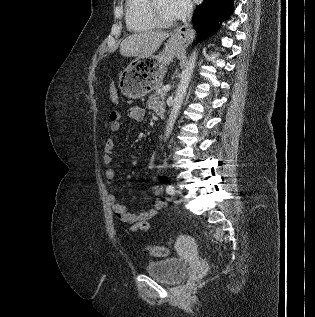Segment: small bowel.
Segmentation results:
<instances>
[{
    "label": "small bowel",
    "mask_w": 315,
    "mask_h": 317,
    "mask_svg": "<svg viewBox=\"0 0 315 317\" xmlns=\"http://www.w3.org/2000/svg\"><path fill=\"white\" fill-rule=\"evenodd\" d=\"M146 108L158 113L164 110V105L162 102L157 100H149L146 104ZM145 108L141 106H133L126 111L112 110L110 112V130L116 132L120 129V122L122 119L126 118L134 123H139L144 119ZM115 149V142L113 139H107L104 143V156L103 162L105 165V176L109 184H111L115 179V169H114V158L113 151ZM154 156H152L150 161V168H154ZM130 178V177H128ZM152 192L154 195L158 196L161 193V187L155 185L152 187ZM108 201L112 207L113 213L118 220L128 224L130 226L131 232L141 231L146 234L150 230L149 220L155 217L158 211L163 207V201L155 198L152 202V207L143 212H129L126 207L121 203L117 202L115 195L110 194L108 196Z\"/></svg>",
    "instance_id": "small-bowel-1"
}]
</instances>
